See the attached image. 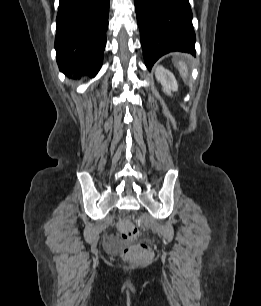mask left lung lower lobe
Wrapping results in <instances>:
<instances>
[{"instance_id":"left-lung-lower-lobe-1","label":"left lung lower lobe","mask_w":261,"mask_h":306,"mask_svg":"<svg viewBox=\"0 0 261 306\" xmlns=\"http://www.w3.org/2000/svg\"><path fill=\"white\" fill-rule=\"evenodd\" d=\"M145 65L150 70L173 51L195 55V33L188 0H134Z\"/></svg>"}]
</instances>
